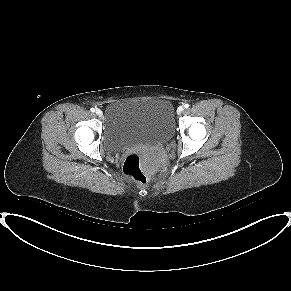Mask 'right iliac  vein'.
<instances>
[{
	"label": "right iliac vein",
	"instance_id": "1",
	"mask_svg": "<svg viewBox=\"0 0 291 291\" xmlns=\"http://www.w3.org/2000/svg\"><path fill=\"white\" fill-rule=\"evenodd\" d=\"M96 114H97L99 117H101V116L103 115V112H102L101 109H97V110H96Z\"/></svg>",
	"mask_w": 291,
	"mask_h": 291
}]
</instances>
